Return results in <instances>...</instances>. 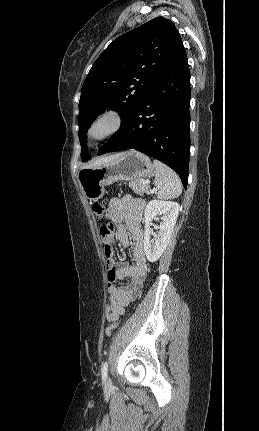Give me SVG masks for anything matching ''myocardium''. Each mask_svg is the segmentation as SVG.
<instances>
[{
    "label": "myocardium",
    "mask_w": 259,
    "mask_h": 431,
    "mask_svg": "<svg viewBox=\"0 0 259 431\" xmlns=\"http://www.w3.org/2000/svg\"><path fill=\"white\" fill-rule=\"evenodd\" d=\"M106 125L105 130L95 135L94 130L99 125ZM124 124V115L120 108L109 105L102 108L90 121L87 128V137L92 142H102L117 134Z\"/></svg>",
    "instance_id": "1"
}]
</instances>
